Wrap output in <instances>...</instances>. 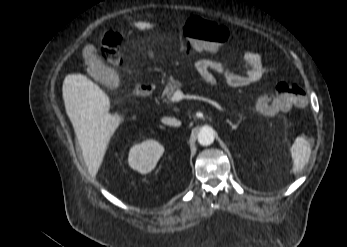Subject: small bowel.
I'll list each match as a JSON object with an SVG mask.
<instances>
[{
  "label": "small bowel",
  "mask_w": 347,
  "mask_h": 247,
  "mask_svg": "<svg viewBox=\"0 0 347 247\" xmlns=\"http://www.w3.org/2000/svg\"><path fill=\"white\" fill-rule=\"evenodd\" d=\"M244 72L239 73L225 64L208 58L195 63V68L202 80L209 86L217 84L215 75H221L231 87L240 88L254 84L262 79L265 68L261 55L248 50L243 55Z\"/></svg>",
  "instance_id": "obj_1"
}]
</instances>
